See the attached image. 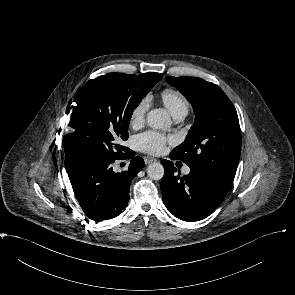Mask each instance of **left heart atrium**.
<instances>
[{"instance_id":"39dd6f15","label":"left heart atrium","mask_w":295,"mask_h":295,"mask_svg":"<svg viewBox=\"0 0 295 295\" xmlns=\"http://www.w3.org/2000/svg\"><path fill=\"white\" fill-rule=\"evenodd\" d=\"M168 140L167 137L155 131H147L135 137L138 149L149 154L163 152Z\"/></svg>"}]
</instances>
